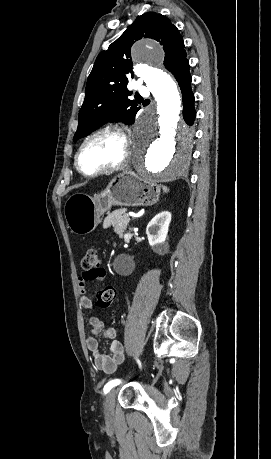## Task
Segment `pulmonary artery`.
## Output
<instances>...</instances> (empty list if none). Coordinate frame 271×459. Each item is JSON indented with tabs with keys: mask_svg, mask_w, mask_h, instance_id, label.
Segmentation results:
<instances>
[{
	"mask_svg": "<svg viewBox=\"0 0 271 459\" xmlns=\"http://www.w3.org/2000/svg\"><path fill=\"white\" fill-rule=\"evenodd\" d=\"M138 91L140 92V96L142 98H147L149 96V91L147 89H143L142 87H139Z\"/></svg>",
	"mask_w": 271,
	"mask_h": 459,
	"instance_id": "obj_1",
	"label": "pulmonary artery"
}]
</instances>
